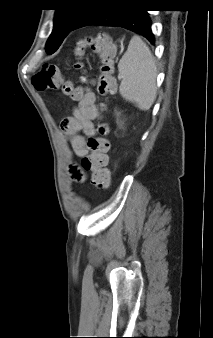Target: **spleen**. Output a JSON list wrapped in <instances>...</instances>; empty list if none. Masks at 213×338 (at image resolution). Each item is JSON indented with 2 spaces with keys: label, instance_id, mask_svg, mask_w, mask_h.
<instances>
[{
  "label": "spleen",
  "instance_id": "1",
  "mask_svg": "<svg viewBox=\"0 0 213 338\" xmlns=\"http://www.w3.org/2000/svg\"><path fill=\"white\" fill-rule=\"evenodd\" d=\"M118 69L122 75L119 87L121 96L141 110L150 109L157 96V68L149 47L139 36L131 38Z\"/></svg>",
  "mask_w": 213,
  "mask_h": 338
}]
</instances>
